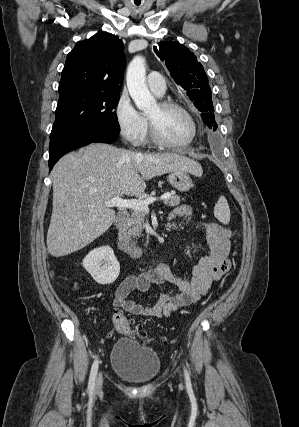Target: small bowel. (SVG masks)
Segmentation results:
<instances>
[{
  "label": "small bowel",
  "mask_w": 299,
  "mask_h": 427,
  "mask_svg": "<svg viewBox=\"0 0 299 427\" xmlns=\"http://www.w3.org/2000/svg\"><path fill=\"white\" fill-rule=\"evenodd\" d=\"M191 215V208L182 205L173 210L170 219ZM203 226L209 253L199 259L190 276L174 274L169 265L165 263L139 275L128 276L116 290L113 300L114 307L137 316L165 319L179 308L195 303L205 296L211 284L219 280L230 269L228 252L231 231L213 222H205ZM152 285L163 286L166 290L146 304L129 299V295L133 291L147 293Z\"/></svg>",
  "instance_id": "obj_1"
}]
</instances>
